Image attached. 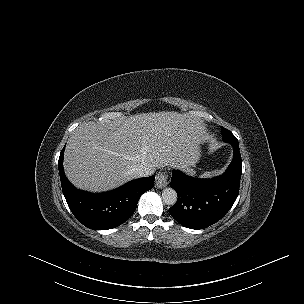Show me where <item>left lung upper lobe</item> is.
Segmentation results:
<instances>
[{
	"label": "left lung upper lobe",
	"mask_w": 304,
	"mask_h": 304,
	"mask_svg": "<svg viewBox=\"0 0 304 304\" xmlns=\"http://www.w3.org/2000/svg\"><path fill=\"white\" fill-rule=\"evenodd\" d=\"M223 139L225 142H238L237 138L227 129L221 127Z\"/></svg>",
	"instance_id": "5c2ea615"
}]
</instances>
